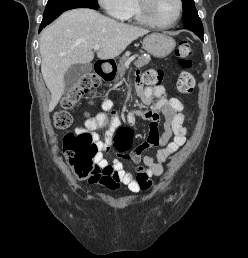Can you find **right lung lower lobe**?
I'll return each mask as SVG.
<instances>
[{
	"mask_svg": "<svg viewBox=\"0 0 248 258\" xmlns=\"http://www.w3.org/2000/svg\"><path fill=\"white\" fill-rule=\"evenodd\" d=\"M82 8H91V9H95L97 10L96 8H93V7H90V6H81ZM80 8V7H78ZM61 14V13H60ZM60 14L54 16V17H51L49 19H46V20H42V23H41V26L39 28V31H41L46 25L50 24L53 20H55Z\"/></svg>",
	"mask_w": 248,
	"mask_h": 258,
	"instance_id": "98d812e1",
	"label": "right lung lower lobe"
}]
</instances>
